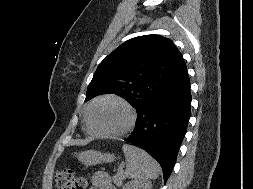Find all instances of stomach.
Listing matches in <instances>:
<instances>
[{
    "label": "stomach",
    "instance_id": "obj_1",
    "mask_svg": "<svg viewBox=\"0 0 253 189\" xmlns=\"http://www.w3.org/2000/svg\"><path fill=\"white\" fill-rule=\"evenodd\" d=\"M78 160L86 165H95L102 162H112L115 157L113 154L101 153L100 151L88 150L81 152L77 156Z\"/></svg>",
    "mask_w": 253,
    "mask_h": 189
}]
</instances>
